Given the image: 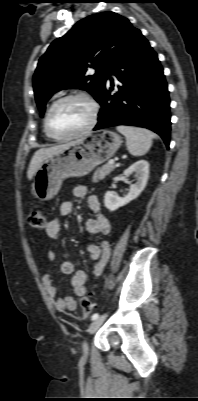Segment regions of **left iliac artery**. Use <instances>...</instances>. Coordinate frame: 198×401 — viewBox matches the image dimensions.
I'll list each match as a JSON object with an SVG mask.
<instances>
[{
    "mask_svg": "<svg viewBox=\"0 0 198 401\" xmlns=\"http://www.w3.org/2000/svg\"><path fill=\"white\" fill-rule=\"evenodd\" d=\"M99 317V314L98 313H94L93 315H92V320H95V319H97Z\"/></svg>",
    "mask_w": 198,
    "mask_h": 401,
    "instance_id": "1",
    "label": "left iliac artery"
}]
</instances>
